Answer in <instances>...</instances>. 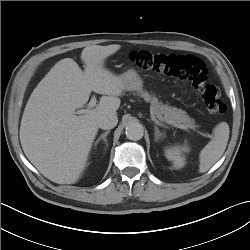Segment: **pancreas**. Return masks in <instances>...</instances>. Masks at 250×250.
Returning <instances> with one entry per match:
<instances>
[{"label":"pancreas","mask_w":250,"mask_h":250,"mask_svg":"<svg viewBox=\"0 0 250 250\" xmlns=\"http://www.w3.org/2000/svg\"><path fill=\"white\" fill-rule=\"evenodd\" d=\"M145 101L151 103L150 111L161 121H171L179 125H184L187 128L195 129V121L189 117L186 111L176 107L163 104L156 97L151 96L148 92L139 90L138 92Z\"/></svg>","instance_id":"pancreas-1"}]
</instances>
